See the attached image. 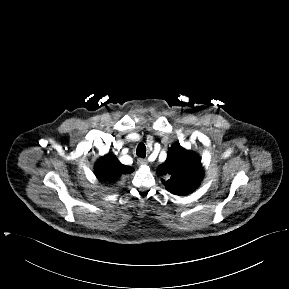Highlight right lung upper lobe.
<instances>
[{
    "mask_svg": "<svg viewBox=\"0 0 289 289\" xmlns=\"http://www.w3.org/2000/svg\"><path fill=\"white\" fill-rule=\"evenodd\" d=\"M132 168L121 164L118 159L108 153L101 157L95 165V175L101 181H114L123 174L132 172Z\"/></svg>",
    "mask_w": 289,
    "mask_h": 289,
    "instance_id": "1",
    "label": "right lung upper lobe"
}]
</instances>
